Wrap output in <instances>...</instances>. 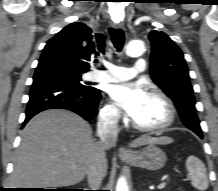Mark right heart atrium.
Returning <instances> with one entry per match:
<instances>
[{"mask_svg": "<svg viewBox=\"0 0 218 191\" xmlns=\"http://www.w3.org/2000/svg\"><path fill=\"white\" fill-rule=\"evenodd\" d=\"M100 118L104 124L109 126H117L123 121L120 109L112 103H107L102 108Z\"/></svg>", "mask_w": 218, "mask_h": 191, "instance_id": "d8ad5b80", "label": "right heart atrium"}]
</instances>
